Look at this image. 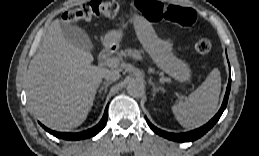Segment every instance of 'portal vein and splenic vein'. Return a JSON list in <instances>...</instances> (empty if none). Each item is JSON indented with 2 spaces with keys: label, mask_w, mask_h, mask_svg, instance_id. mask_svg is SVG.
Here are the masks:
<instances>
[{
  "label": "portal vein and splenic vein",
  "mask_w": 259,
  "mask_h": 156,
  "mask_svg": "<svg viewBox=\"0 0 259 156\" xmlns=\"http://www.w3.org/2000/svg\"><path fill=\"white\" fill-rule=\"evenodd\" d=\"M119 59L118 58H108L106 60V65H108L109 67H117L119 65Z\"/></svg>",
  "instance_id": "portal-vein-and-splenic-vein-1"
}]
</instances>
